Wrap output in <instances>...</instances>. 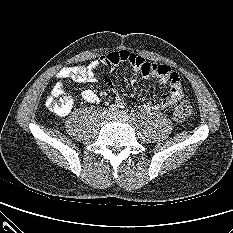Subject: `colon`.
<instances>
[{
    "mask_svg": "<svg viewBox=\"0 0 233 233\" xmlns=\"http://www.w3.org/2000/svg\"><path fill=\"white\" fill-rule=\"evenodd\" d=\"M49 110L56 114H63L71 110L73 100L70 95L65 94L63 90L57 88L45 101ZM193 114V108L187 101H180L174 108V116L177 120L183 121Z\"/></svg>",
    "mask_w": 233,
    "mask_h": 233,
    "instance_id": "obj_1",
    "label": "colon"
}]
</instances>
